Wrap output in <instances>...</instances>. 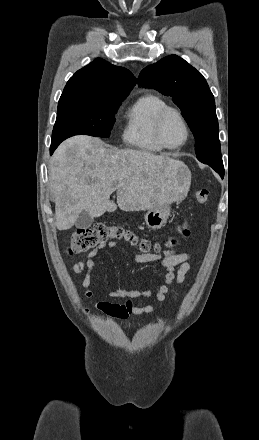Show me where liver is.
<instances>
[{
	"label": "liver",
	"mask_w": 259,
	"mask_h": 440,
	"mask_svg": "<svg viewBox=\"0 0 259 440\" xmlns=\"http://www.w3.org/2000/svg\"><path fill=\"white\" fill-rule=\"evenodd\" d=\"M58 230H68L84 210L92 217L118 207L145 211L184 197L186 166L164 155L133 149L106 148L102 140L74 136L62 142L49 168ZM117 191V205L110 201Z\"/></svg>",
	"instance_id": "1"
}]
</instances>
